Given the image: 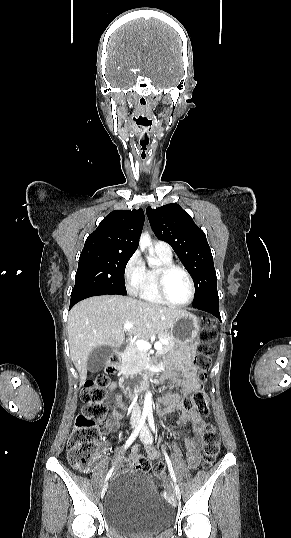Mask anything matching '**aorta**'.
Wrapping results in <instances>:
<instances>
[{"label": "aorta", "mask_w": 291, "mask_h": 538, "mask_svg": "<svg viewBox=\"0 0 291 538\" xmlns=\"http://www.w3.org/2000/svg\"><path fill=\"white\" fill-rule=\"evenodd\" d=\"M150 243V238L147 235L142 234L140 237V248L143 250L146 245ZM149 264H155L154 258H148ZM143 412L145 414H151L152 413V394L150 392H147L144 398V405H143Z\"/></svg>", "instance_id": "aorta-1"}]
</instances>
